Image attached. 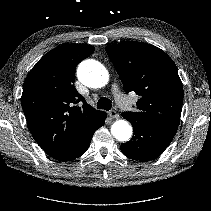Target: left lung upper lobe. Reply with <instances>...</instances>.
<instances>
[{
	"label": "left lung upper lobe",
	"mask_w": 211,
	"mask_h": 211,
	"mask_svg": "<svg viewBox=\"0 0 211 211\" xmlns=\"http://www.w3.org/2000/svg\"><path fill=\"white\" fill-rule=\"evenodd\" d=\"M123 83L140 99L137 112L124 115L141 123L177 126L183 103V86L172 59L160 48L143 42H125L106 47Z\"/></svg>",
	"instance_id": "1"
}]
</instances>
